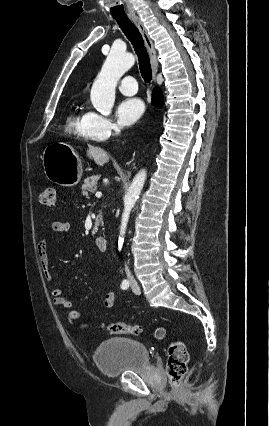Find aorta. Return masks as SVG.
Returning <instances> with one entry per match:
<instances>
[{
  "mask_svg": "<svg viewBox=\"0 0 269 426\" xmlns=\"http://www.w3.org/2000/svg\"><path fill=\"white\" fill-rule=\"evenodd\" d=\"M135 63V57L130 53L111 50L101 72L97 76L91 88V102L94 108L104 116H109L115 102V89L118 80ZM147 172L140 170L124 196V211L121 219L120 235L118 238V249L121 250L124 243V235L127 228L130 212L135 206L137 199L143 189Z\"/></svg>",
  "mask_w": 269,
  "mask_h": 426,
  "instance_id": "1",
  "label": "aorta"
}]
</instances>
